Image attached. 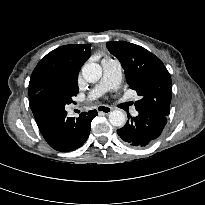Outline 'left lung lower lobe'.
I'll list each match as a JSON object with an SVG mask.
<instances>
[{"label":"left lung lower lobe","mask_w":205,"mask_h":205,"mask_svg":"<svg viewBox=\"0 0 205 205\" xmlns=\"http://www.w3.org/2000/svg\"><path fill=\"white\" fill-rule=\"evenodd\" d=\"M137 111L139 115L128 120L117 133L128 145L145 147L161 135L167 123V116L152 111Z\"/></svg>","instance_id":"left-lung-lower-lobe-1"}]
</instances>
